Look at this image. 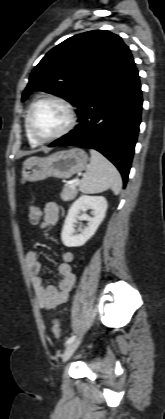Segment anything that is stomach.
<instances>
[{"instance_id":"0dacf381","label":"stomach","mask_w":165,"mask_h":419,"mask_svg":"<svg viewBox=\"0 0 165 419\" xmlns=\"http://www.w3.org/2000/svg\"><path fill=\"white\" fill-rule=\"evenodd\" d=\"M88 156L80 148L59 151L44 158L34 157L24 164L22 177L25 181H40L49 177L67 179L84 170Z\"/></svg>"}]
</instances>
